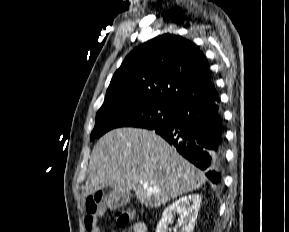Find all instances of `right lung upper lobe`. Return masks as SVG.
<instances>
[{"mask_svg":"<svg viewBox=\"0 0 289 232\" xmlns=\"http://www.w3.org/2000/svg\"><path fill=\"white\" fill-rule=\"evenodd\" d=\"M128 96L178 108L219 95L204 54L191 41L168 33L136 47L114 73L105 99Z\"/></svg>","mask_w":289,"mask_h":232,"instance_id":"obj_1","label":"right lung upper lobe"}]
</instances>
